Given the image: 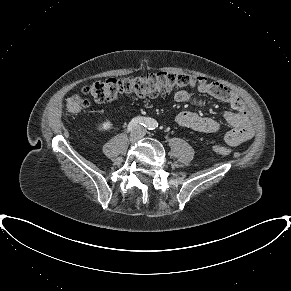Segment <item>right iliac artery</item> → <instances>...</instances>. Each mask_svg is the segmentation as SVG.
<instances>
[{"instance_id":"obj_1","label":"right iliac artery","mask_w":291,"mask_h":291,"mask_svg":"<svg viewBox=\"0 0 291 291\" xmlns=\"http://www.w3.org/2000/svg\"><path fill=\"white\" fill-rule=\"evenodd\" d=\"M138 124L147 126L148 124H150V119L146 117H140V116L132 119L128 125V131H131Z\"/></svg>"}]
</instances>
